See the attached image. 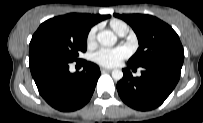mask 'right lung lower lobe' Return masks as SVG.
Wrapping results in <instances>:
<instances>
[{
	"mask_svg": "<svg viewBox=\"0 0 203 123\" xmlns=\"http://www.w3.org/2000/svg\"><path fill=\"white\" fill-rule=\"evenodd\" d=\"M81 62V72L70 73V61L55 56L35 55L29 57L32 77L40 95L60 111H74L83 107L91 98L99 67L91 62Z\"/></svg>",
	"mask_w": 203,
	"mask_h": 123,
	"instance_id": "right-lung-lower-lobe-1",
	"label": "right lung lower lobe"
}]
</instances>
